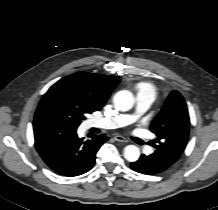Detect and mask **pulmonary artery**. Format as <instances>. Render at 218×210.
I'll return each instance as SVG.
<instances>
[{"label": "pulmonary artery", "mask_w": 218, "mask_h": 210, "mask_svg": "<svg viewBox=\"0 0 218 210\" xmlns=\"http://www.w3.org/2000/svg\"><path fill=\"white\" fill-rule=\"evenodd\" d=\"M153 101L154 92L152 89L144 87L136 97V109L133 113L121 114L109 118H94L88 121L87 127L114 129L130 125L151 107Z\"/></svg>", "instance_id": "1"}]
</instances>
